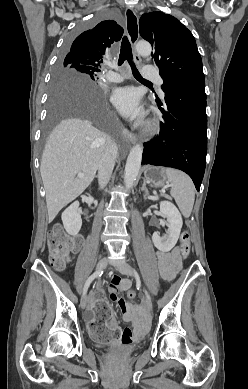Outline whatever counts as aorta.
Segmentation results:
<instances>
[{
    "instance_id": "aorta-1",
    "label": "aorta",
    "mask_w": 248,
    "mask_h": 389,
    "mask_svg": "<svg viewBox=\"0 0 248 389\" xmlns=\"http://www.w3.org/2000/svg\"><path fill=\"white\" fill-rule=\"evenodd\" d=\"M136 51L142 56H149L152 52V47L148 42H138ZM143 148L137 144L132 147L125 166L124 182L126 188H130L136 180L142 161Z\"/></svg>"
}]
</instances>
